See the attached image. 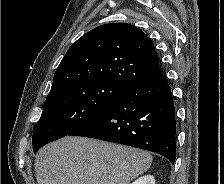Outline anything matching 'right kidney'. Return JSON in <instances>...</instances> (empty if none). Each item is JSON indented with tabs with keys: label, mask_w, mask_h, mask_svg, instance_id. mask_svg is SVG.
<instances>
[{
	"label": "right kidney",
	"mask_w": 224,
	"mask_h": 184,
	"mask_svg": "<svg viewBox=\"0 0 224 184\" xmlns=\"http://www.w3.org/2000/svg\"><path fill=\"white\" fill-rule=\"evenodd\" d=\"M131 184H155L154 176L152 175H145L142 177H139Z\"/></svg>",
	"instance_id": "1"
}]
</instances>
